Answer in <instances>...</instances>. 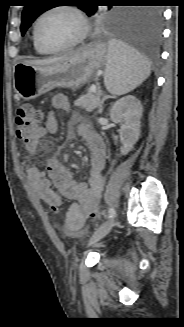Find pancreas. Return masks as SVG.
Here are the masks:
<instances>
[{
  "label": "pancreas",
  "instance_id": "pancreas-1",
  "mask_svg": "<svg viewBox=\"0 0 184 327\" xmlns=\"http://www.w3.org/2000/svg\"><path fill=\"white\" fill-rule=\"evenodd\" d=\"M101 95V91L97 90L96 92H93L89 89L87 94L81 95L74 102V105L83 108L88 112H92L95 108L99 106Z\"/></svg>",
  "mask_w": 184,
  "mask_h": 327
}]
</instances>
